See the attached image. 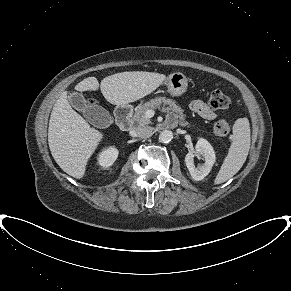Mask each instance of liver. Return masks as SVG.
Listing matches in <instances>:
<instances>
[{
    "label": "liver",
    "mask_w": 291,
    "mask_h": 291,
    "mask_svg": "<svg viewBox=\"0 0 291 291\" xmlns=\"http://www.w3.org/2000/svg\"><path fill=\"white\" fill-rule=\"evenodd\" d=\"M166 79L163 74L145 71H129L104 78L100 85L95 77H88L75 86L77 91H96L99 86L105 99L122 106L137 101L156 90ZM103 134L90 127L88 122L74 111L64 91L51 112L48 143L51 154L68 175L81 179L86 165L102 140Z\"/></svg>",
    "instance_id": "6515ba94"
}]
</instances>
